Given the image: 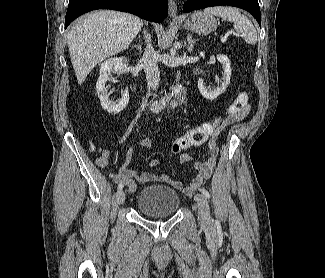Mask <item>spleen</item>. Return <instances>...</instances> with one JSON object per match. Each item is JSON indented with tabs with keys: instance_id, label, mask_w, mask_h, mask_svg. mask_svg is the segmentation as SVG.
<instances>
[{
	"instance_id": "3e777b00",
	"label": "spleen",
	"mask_w": 325,
	"mask_h": 278,
	"mask_svg": "<svg viewBox=\"0 0 325 278\" xmlns=\"http://www.w3.org/2000/svg\"><path fill=\"white\" fill-rule=\"evenodd\" d=\"M205 13L218 16L226 21L234 23L236 32L244 36L246 43L255 45L257 43V32L252 22L240 11L233 7H209L204 10Z\"/></svg>"
}]
</instances>
